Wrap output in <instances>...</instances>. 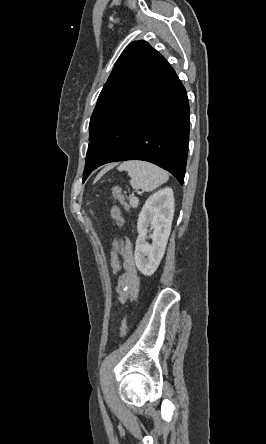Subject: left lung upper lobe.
Returning <instances> with one entry per match:
<instances>
[{
  "mask_svg": "<svg viewBox=\"0 0 266 444\" xmlns=\"http://www.w3.org/2000/svg\"><path fill=\"white\" fill-rule=\"evenodd\" d=\"M165 58L146 41L129 44L105 83L90 119L89 140L129 104L173 72Z\"/></svg>",
  "mask_w": 266,
  "mask_h": 444,
  "instance_id": "left-lung-upper-lobe-1",
  "label": "left lung upper lobe"
}]
</instances>
